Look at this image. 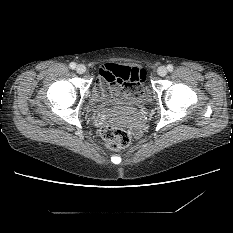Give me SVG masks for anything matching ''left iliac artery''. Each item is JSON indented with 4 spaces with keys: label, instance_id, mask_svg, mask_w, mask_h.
Here are the masks:
<instances>
[{
    "label": "left iliac artery",
    "instance_id": "44dca946",
    "mask_svg": "<svg viewBox=\"0 0 233 233\" xmlns=\"http://www.w3.org/2000/svg\"><path fill=\"white\" fill-rule=\"evenodd\" d=\"M173 65H171V64H169V65H167V69H168V71H173Z\"/></svg>",
    "mask_w": 233,
    "mask_h": 233
}]
</instances>
